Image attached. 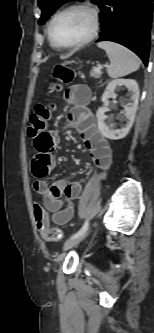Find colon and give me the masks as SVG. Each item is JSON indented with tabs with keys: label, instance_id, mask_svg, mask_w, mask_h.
Here are the masks:
<instances>
[{
	"label": "colon",
	"instance_id": "1",
	"mask_svg": "<svg viewBox=\"0 0 154 333\" xmlns=\"http://www.w3.org/2000/svg\"><path fill=\"white\" fill-rule=\"evenodd\" d=\"M56 81L52 83V89L59 91L62 84L72 82L74 73L73 70L66 66H57L54 70ZM54 109V104H37L29 118L27 135L29 139H35L41 131L46 128L47 122L50 119ZM34 220L42 237L49 241H57L62 238V231L57 227H51L49 217L44 207L39 204L34 206Z\"/></svg>",
	"mask_w": 154,
	"mask_h": 333
}]
</instances>
